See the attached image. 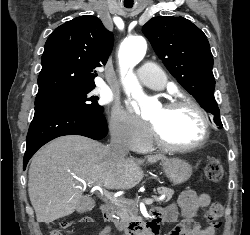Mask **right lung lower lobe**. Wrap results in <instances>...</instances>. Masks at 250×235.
I'll return each instance as SVG.
<instances>
[{
	"instance_id": "right-lung-lower-lobe-1",
	"label": "right lung lower lobe",
	"mask_w": 250,
	"mask_h": 235,
	"mask_svg": "<svg viewBox=\"0 0 250 235\" xmlns=\"http://www.w3.org/2000/svg\"><path fill=\"white\" fill-rule=\"evenodd\" d=\"M108 127L104 115H92L69 108L35 107L34 118L27 134L23 167L34 153L54 138L64 135H82L94 140L106 136Z\"/></svg>"
}]
</instances>
